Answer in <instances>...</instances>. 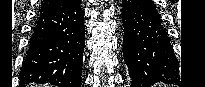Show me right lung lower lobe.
<instances>
[{"label":"right lung lower lobe","mask_w":205,"mask_h":87,"mask_svg":"<svg viewBox=\"0 0 205 87\" xmlns=\"http://www.w3.org/2000/svg\"><path fill=\"white\" fill-rule=\"evenodd\" d=\"M84 12L80 0L39 13L19 73L20 87L35 82L80 87L85 46Z\"/></svg>","instance_id":"right-lung-lower-lobe-1"}]
</instances>
